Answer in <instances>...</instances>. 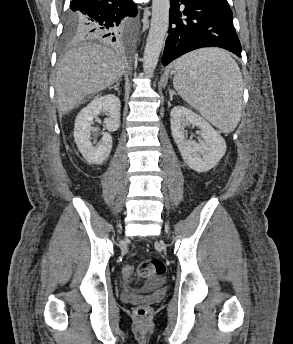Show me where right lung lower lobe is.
Listing matches in <instances>:
<instances>
[{
  "mask_svg": "<svg viewBox=\"0 0 293 344\" xmlns=\"http://www.w3.org/2000/svg\"><path fill=\"white\" fill-rule=\"evenodd\" d=\"M70 8L85 17L82 39L109 43L125 40L127 28L137 13L133 0H73Z\"/></svg>",
  "mask_w": 293,
  "mask_h": 344,
  "instance_id": "obj_1",
  "label": "right lung lower lobe"
}]
</instances>
